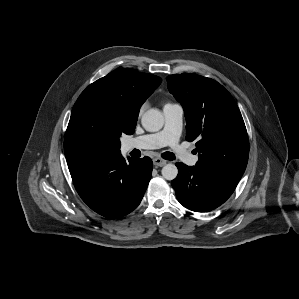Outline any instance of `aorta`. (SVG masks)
Listing matches in <instances>:
<instances>
[{
	"label": "aorta",
	"mask_w": 299,
	"mask_h": 299,
	"mask_svg": "<svg viewBox=\"0 0 299 299\" xmlns=\"http://www.w3.org/2000/svg\"><path fill=\"white\" fill-rule=\"evenodd\" d=\"M141 123L146 131L156 132L162 129L164 117L160 110L152 108L143 114ZM161 173L166 180H173L178 175V169L174 164L169 163L162 168Z\"/></svg>",
	"instance_id": "1"
}]
</instances>
